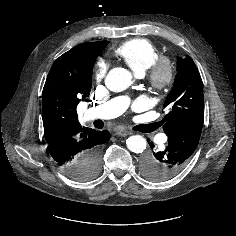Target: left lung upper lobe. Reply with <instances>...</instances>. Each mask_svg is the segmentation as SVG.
I'll use <instances>...</instances> for the list:
<instances>
[{"label": "left lung upper lobe", "instance_id": "5c2ea615", "mask_svg": "<svg viewBox=\"0 0 236 236\" xmlns=\"http://www.w3.org/2000/svg\"><path fill=\"white\" fill-rule=\"evenodd\" d=\"M163 107L169 110L161 121L167 135L189 125L203 124V84L191 57L177 60V75Z\"/></svg>", "mask_w": 236, "mask_h": 236}]
</instances>
